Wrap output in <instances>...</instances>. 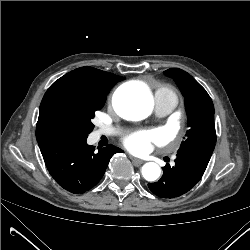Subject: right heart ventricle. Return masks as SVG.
<instances>
[{"mask_svg":"<svg viewBox=\"0 0 250 250\" xmlns=\"http://www.w3.org/2000/svg\"><path fill=\"white\" fill-rule=\"evenodd\" d=\"M154 98L155 102L157 100H168L174 102L175 104L178 102V96L175 90L166 84H161L156 87L154 91Z\"/></svg>","mask_w":250,"mask_h":250,"instance_id":"1","label":"right heart ventricle"}]
</instances>
